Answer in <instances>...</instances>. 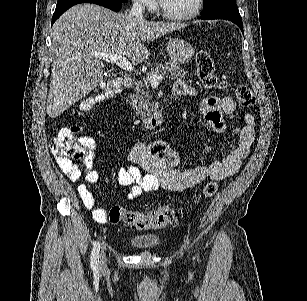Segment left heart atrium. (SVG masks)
Segmentation results:
<instances>
[{
    "label": "left heart atrium",
    "instance_id": "obj_1",
    "mask_svg": "<svg viewBox=\"0 0 307 301\" xmlns=\"http://www.w3.org/2000/svg\"><path fill=\"white\" fill-rule=\"evenodd\" d=\"M131 62H141V61H131Z\"/></svg>",
    "mask_w": 307,
    "mask_h": 301
}]
</instances>
